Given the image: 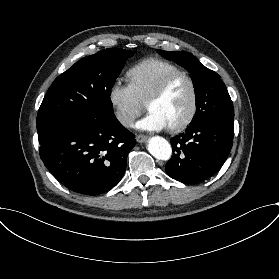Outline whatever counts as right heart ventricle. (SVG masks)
I'll use <instances>...</instances> for the list:
<instances>
[{
    "label": "right heart ventricle",
    "mask_w": 279,
    "mask_h": 279,
    "mask_svg": "<svg viewBox=\"0 0 279 279\" xmlns=\"http://www.w3.org/2000/svg\"><path fill=\"white\" fill-rule=\"evenodd\" d=\"M178 72H183L179 65L162 58L150 57L132 66L127 76L137 97L145 101L168 76Z\"/></svg>",
    "instance_id": "e07e8e85"
}]
</instances>
